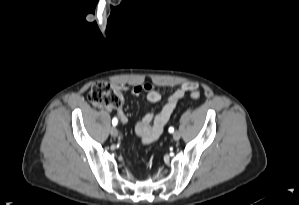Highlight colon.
I'll list each match as a JSON object with an SVG mask.
<instances>
[{
    "instance_id": "colon-1",
    "label": "colon",
    "mask_w": 299,
    "mask_h": 205,
    "mask_svg": "<svg viewBox=\"0 0 299 205\" xmlns=\"http://www.w3.org/2000/svg\"><path fill=\"white\" fill-rule=\"evenodd\" d=\"M190 96L192 99L198 100L200 93L194 89L191 91ZM88 98L93 105L115 109L121 106L123 93L119 87L113 86L109 82L97 81L93 84Z\"/></svg>"
}]
</instances>
